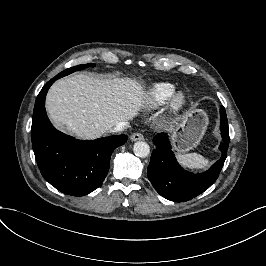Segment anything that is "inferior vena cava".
I'll use <instances>...</instances> for the list:
<instances>
[{"mask_svg":"<svg viewBox=\"0 0 266 266\" xmlns=\"http://www.w3.org/2000/svg\"><path fill=\"white\" fill-rule=\"evenodd\" d=\"M127 124H128L127 122H120L116 126H114L112 129H110L108 132L113 133V132L122 131L124 126H126Z\"/></svg>","mask_w":266,"mask_h":266,"instance_id":"inferior-vena-cava-1","label":"inferior vena cava"}]
</instances>
